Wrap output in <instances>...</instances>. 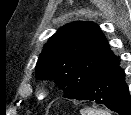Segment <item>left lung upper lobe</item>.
<instances>
[{
	"label": "left lung upper lobe",
	"instance_id": "left-lung-upper-lobe-1",
	"mask_svg": "<svg viewBox=\"0 0 131 115\" xmlns=\"http://www.w3.org/2000/svg\"><path fill=\"white\" fill-rule=\"evenodd\" d=\"M118 64L98 25L78 21L66 24L49 38L36 65V78L55 80L65 92L63 97L75 99Z\"/></svg>",
	"mask_w": 131,
	"mask_h": 115
}]
</instances>
